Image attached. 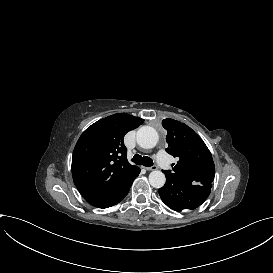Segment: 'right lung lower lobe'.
Instances as JSON below:
<instances>
[{
  "instance_id": "1",
  "label": "right lung lower lobe",
  "mask_w": 273,
  "mask_h": 273,
  "mask_svg": "<svg viewBox=\"0 0 273 273\" xmlns=\"http://www.w3.org/2000/svg\"><path fill=\"white\" fill-rule=\"evenodd\" d=\"M131 186V185H130ZM130 186L128 187V189L125 191V193L122 195V197H121V199L118 201V202H120L126 195H127V193H128V191H129V189H130ZM117 202V203H118ZM116 203V204H117Z\"/></svg>"
}]
</instances>
